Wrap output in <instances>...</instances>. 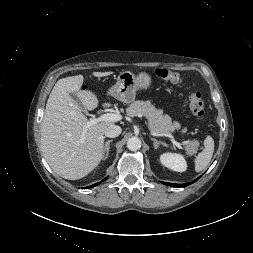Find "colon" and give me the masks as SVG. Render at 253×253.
Returning a JSON list of instances; mask_svg holds the SVG:
<instances>
[{"label":"colon","mask_w":253,"mask_h":253,"mask_svg":"<svg viewBox=\"0 0 253 253\" xmlns=\"http://www.w3.org/2000/svg\"><path fill=\"white\" fill-rule=\"evenodd\" d=\"M155 74L158 78L166 82L179 83L183 81V78L178 72L167 68H159L155 71ZM190 109L193 115L199 120H202L204 118V103L201 94L197 91H193L190 95Z\"/></svg>","instance_id":"obj_1"}]
</instances>
